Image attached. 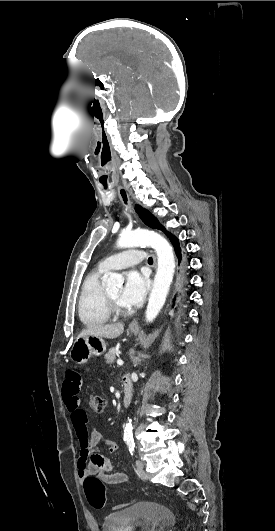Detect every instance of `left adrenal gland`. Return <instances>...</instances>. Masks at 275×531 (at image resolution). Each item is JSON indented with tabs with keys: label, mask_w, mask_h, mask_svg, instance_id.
I'll use <instances>...</instances> for the list:
<instances>
[{
	"label": "left adrenal gland",
	"mask_w": 275,
	"mask_h": 531,
	"mask_svg": "<svg viewBox=\"0 0 275 531\" xmlns=\"http://www.w3.org/2000/svg\"><path fill=\"white\" fill-rule=\"evenodd\" d=\"M134 365H138V363H134Z\"/></svg>",
	"instance_id": "left-adrenal-gland-1"
}]
</instances>
